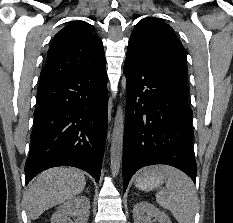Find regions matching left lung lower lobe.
<instances>
[{
	"label": "left lung lower lobe",
	"instance_id": "1",
	"mask_svg": "<svg viewBox=\"0 0 233 223\" xmlns=\"http://www.w3.org/2000/svg\"><path fill=\"white\" fill-rule=\"evenodd\" d=\"M124 73L123 190L138 169L153 164L176 167L195 182L192 110L186 83L156 70L131 50L127 51Z\"/></svg>",
	"mask_w": 233,
	"mask_h": 223
}]
</instances>
